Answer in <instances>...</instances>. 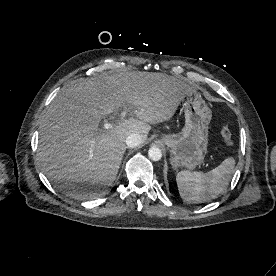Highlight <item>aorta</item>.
<instances>
[{
    "label": "aorta",
    "mask_w": 276,
    "mask_h": 276,
    "mask_svg": "<svg viewBox=\"0 0 276 276\" xmlns=\"http://www.w3.org/2000/svg\"><path fill=\"white\" fill-rule=\"evenodd\" d=\"M148 156L153 161H159L162 158V152L158 147L152 146L148 151Z\"/></svg>",
    "instance_id": "obj_1"
}]
</instances>
